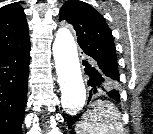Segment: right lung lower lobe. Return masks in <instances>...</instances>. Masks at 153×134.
I'll return each instance as SVG.
<instances>
[{
    "mask_svg": "<svg viewBox=\"0 0 153 134\" xmlns=\"http://www.w3.org/2000/svg\"><path fill=\"white\" fill-rule=\"evenodd\" d=\"M30 43L0 56V134H22Z\"/></svg>",
    "mask_w": 153,
    "mask_h": 134,
    "instance_id": "obj_1",
    "label": "right lung lower lobe"
}]
</instances>
